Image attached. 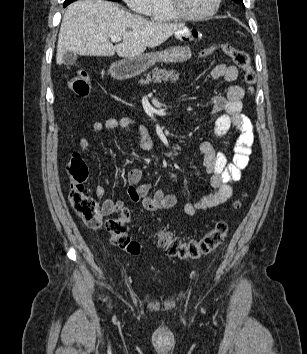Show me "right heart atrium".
Masks as SVG:
<instances>
[{"instance_id": "obj_1", "label": "right heart atrium", "mask_w": 307, "mask_h": 354, "mask_svg": "<svg viewBox=\"0 0 307 354\" xmlns=\"http://www.w3.org/2000/svg\"><path fill=\"white\" fill-rule=\"evenodd\" d=\"M126 5L141 14H146L153 0H123Z\"/></svg>"}]
</instances>
